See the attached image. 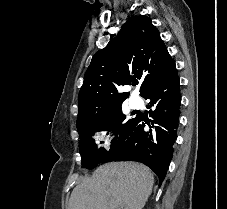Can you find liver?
<instances>
[{"instance_id":"1","label":"liver","mask_w":227,"mask_h":209,"mask_svg":"<svg viewBox=\"0 0 227 209\" xmlns=\"http://www.w3.org/2000/svg\"><path fill=\"white\" fill-rule=\"evenodd\" d=\"M153 185L145 165L108 163L73 189L69 209H143Z\"/></svg>"}]
</instances>
